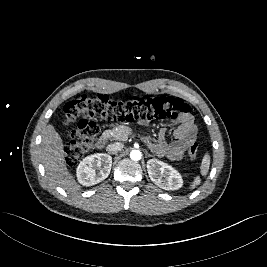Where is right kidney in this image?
Returning a JSON list of instances; mask_svg holds the SVG:
<instances>
[{
    "label": "right kidney",
    "mask_w": 267,
    "mask_h": 267,
    "mask_svg": "<svg viewBox=\"0 0 267 267\" xmlns=\"http://www.w3.org/2000/svg\"><path fill=\"white\" fill-rule=\"evenodd\" d=\"M112 157L96 153L84 158L77 167V179L83 186H92L105 180L111 171Z\"/></svg>",
    "instance_id": "1"
}]
</instances>
